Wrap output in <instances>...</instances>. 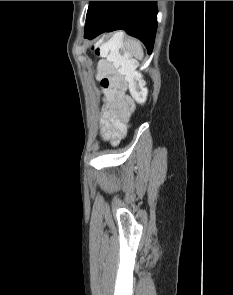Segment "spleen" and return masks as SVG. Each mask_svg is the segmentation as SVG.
I'll return each mask as SVG.
<instances>
[{
	"label": "spleen",
	"mask_w": 233,
	"mask_h": 295,
	"mask_svg": "<svg viewBox=\"0 0 233 295\" xmlns=\"http://www.w3.org/2000/svg\"><path fill=\"white\" fill-rule=\"evenodd\" d=\"M123 34L116 33L108 42L101 46V55L107 57V60L113 62L114 66H124L128 56H134L141 60L144 53L141 43L135 39H128L123 41ZM124 50V56L120 54V50Z\"/></svg>",
	"instance_id": "spleen-1"
}]
</instances>
